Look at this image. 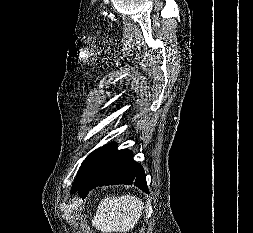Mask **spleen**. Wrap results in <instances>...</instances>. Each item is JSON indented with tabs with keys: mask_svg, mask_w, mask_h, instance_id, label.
Returning <instances> with one entry per match:
<instances>
[{
	"mask_svg": "<svg viewBox=\"0 0 253 233\" xmlns=\"http://www.w3.org/2000/svg\"><path fill=\"white\" fill-rule=\"evenodd\" d=\"M144 204L132 195L105 197L92 220V226L102 233H126L132 230L142 216Z\"/></svg>",
	"mask_w": 253,
	"mask_h": 233,
	"instance_id": "1",
	"label": "spleen"
}]
</instances>
